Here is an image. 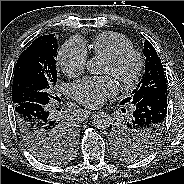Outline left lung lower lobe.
Returning a JSON list of instances; mask_svg holds the SVG:
<instances>
[{"mask_svg":"<svg viewBox=\"0 0 184 184\" xmlns=\"http://www.w3.org/2000/svg\"><path fill=\"white\" fill-rule=\"evenodd\" d=\"M134 109L131 125L138 128L148 126L154 132L151 133V141L137 142L134 146L137 152L146 151L152 143H157L163 134L167 114V94H150L137 102Z\"/></svg>","mask_w":184,"mask_h":184,"instance_id":"0a47b994","label":"left lung lower lobe"}]
</instances>
